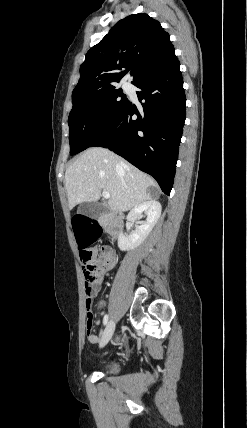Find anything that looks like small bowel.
Instances as JSON below:
<instances>
[{
	"label": "small bowel",
	"mask_w": 247,
	"mask_h": 428,
	"mask_svg": "<svg viewBox=\"0 0 247 428\" xmlns=\"http://www.w3.org/2000/svg\"><path fill=\"white\" fill-rule=\"evenodd\" d=\"M101 256L105 259V262H106L105 267L103 269L101 279L98 282H96L94 285L91 286L88 294L86 293V295H87L86 304H87L88 300H90V302H91L92 298L98 294L104 275L107 272H109L110 270H112L115 267L116 262H117L115 253L113 252V250H111L109 248H102ZM99 339H100V337L98 335H93V334H92V336L88 335V340L91 343H97L99 341Z\"/></svg>",
	"instance_id": "c3829d8e"
}]
</instances>
